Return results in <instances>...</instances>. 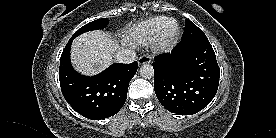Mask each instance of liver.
Here are the masks:
<instances>
[{"label":"liver","instance_id":"liver-1","mask_svg":"<svg viewBox=\"0 0 276 138\" xmlns=\"http://www.w3.org/2000/svg\"><path fill=\"white\" fill-rule=\"evenodd\" d=\"M119 45L103 31H90L74 39L71 61L74 68L84 75L97 74L113 62Z\"/></svg>","mask_w":276,"mask_h":138}]
</instances>
